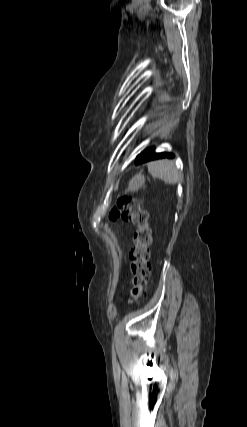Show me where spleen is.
<instances>
[{"label": "spleen", "instance_id": "obj_1", "mask_svg": "<svg viewBox=\"0 0 247 427\" xmlns=\"http://www.w3.org/2000/svg\"><path fill=\"white\" fill-rule=\"evenodd\" d=\"M148 171L154 178L161 179L167 184H176L182 178L181 173L176 169L174 163L169 160L150 163Z\"/></svg>", "mask_w": 247, "mask_h": 427}]
</instances>
